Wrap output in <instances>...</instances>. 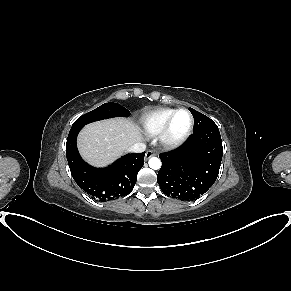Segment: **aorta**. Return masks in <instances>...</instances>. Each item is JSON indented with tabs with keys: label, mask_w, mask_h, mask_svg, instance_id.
Masks as SVG:
<instances>
[{
	"label": "aorta",
	"mask_w": 291,
	"mask_h": 291,
	"mask_svg": "<svg viewBox=\"0 0 291 291\" xmlns=\"http://www.w3.org/2000/svg\"><path fill=\"white\" fill-rule=\"evenodd\" d=\"M148 163H149V167L154 170L160 169L161 167V161L157 157H151Z\"/></svg>",
	"instance_id": "1"
}]
</instances>
